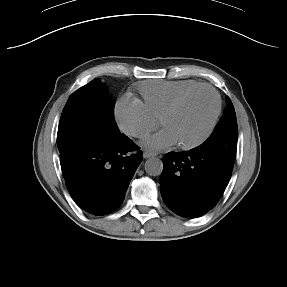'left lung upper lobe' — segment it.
Wrapping results in <instances>:
<instances>
[{"instance_id":"left-lung-upper-lobe-1","label":"left lung upper lobe","mask_w":287,"mask_h":287,"mask_svg":"<svg viewBox=\"0 0 287 287\" xmlns=\"http://www.w3.org/2000/svg\"><path fill=\"white\" fill-rule=\"evenodd\" d=\"M227 109L220 122L216 125L210 137L201 144L233 167L236 155V143L238 139V128L235 110L230 98L227 97Z\"/></svg>"}]
</instances>
